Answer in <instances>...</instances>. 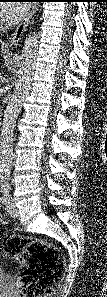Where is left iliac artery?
Wrapping results in <instances>:
<instances>
[{
  "mask_svg": "<svg viewBox=\"0 0 107 297\" xmlns=\"http://www.w3.org/2000/svg\"><path fill=\"white\" fill-rule=\"evenodd\" d=\"M1 202L3 204H9L10 203V195H9V190L4 187L3 190V196L0 198Z\"/></svg>",
  "mask_w": 107,
  "mask_h": 297,
  "instance_id": "obj_1",
  "label": "left iliac artery"
}]
</instances>
